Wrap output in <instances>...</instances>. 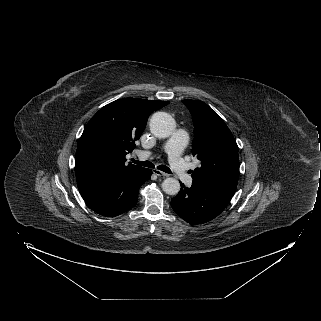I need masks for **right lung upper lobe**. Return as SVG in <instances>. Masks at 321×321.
Instances as JSON below:
<instances>
[{
	"label": "right lung upper lobe",
	"mask_w": 321,
	"mask_h": 321,
	"mask_svg": "<svg viewBox=\"0 0 321 321\" xmlns=\"http://www.w3.org/2000/svg\"><path fill=\"white\" fill-rule=\"evenodd\" d=\"M168 101L123 98L102 107L88 122L75 156L78 184L106 174L133 172L142 167L125 165L149 115Z\"/></svg>",
	"instance_id": "right-lung-upper-lobe-1"
}]
</instances>
